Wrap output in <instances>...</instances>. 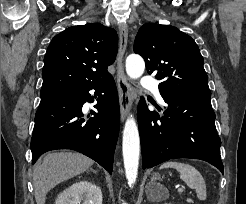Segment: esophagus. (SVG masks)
Masks as SVG:
<instances>
[{
  "mask_svg": "<svg viewBox=\"0 0 246 204\" xmlns=\"http://www.w3.org/2000/svg\"><path fill=\"white\" fill-rule=\"evenodd\" d=\"M119 40L120 44L117 60L116 82L119 92L121 120L124 121L130 111L132 104V92L129 84L126 81V76L123 67V61L128 41V26L126 23H121L119 25Z\"/></svg>",
  "mask_w": 246,
  "mask_h": 204,
  "instance_id": "obj_1",
  "label": "esophagus"
}]
</instances>
